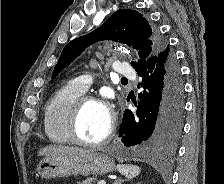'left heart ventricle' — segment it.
I'll return each mask as SVG.
<instances>
[{
  "instance_id": "b2bd125f",
  "label": "left heart ventricle",
  "mask_w": 224,
  "mask_h": 184,
  "mask_svg": "<svg viewBox=\"0 0 224 184\" xmlns=\"http://www.w3.org/2000/svg\"><path fill=\"white\" fill-rule=\"evenodd\" d=\"M110 116L107 108L98 103H88L80 116L78 132L82 139L98 141L108 132Z\"/></svg>"
}]
</instances>
